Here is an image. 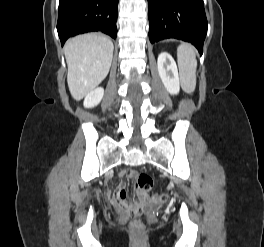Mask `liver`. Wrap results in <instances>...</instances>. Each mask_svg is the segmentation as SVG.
Listing matches in <instances>:
<instances>
[{"mask_svg":"<svg viewBox=\"0 0 264 247\" xmlns=\"http://www.w3.org/2000/svg\"><path fill=\"white\" fill-rule=\"evenodd\" d=\"M113 49L112 41L100 34H83L67 41L64 46L67 83L76 101L94 90L108 75Z\"/></svg>","mask_w":264,"mask_h":247,"instance_id":"liver-1","label":"liver"}]
</instances>
